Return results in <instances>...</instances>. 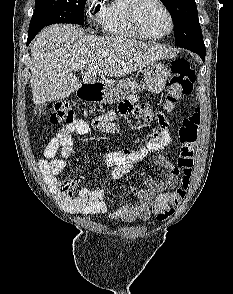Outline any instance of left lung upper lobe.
Returning <instances> with one entry per match:
<instances>
[{"label": "left lung upper lobe", "instance_id": "obj_1", "mask_svg": "<svg viewBox=\"0 0 233 294\" xmlns=\"http://www.w3.org/2000/svg\"><path fill=\"white\" fill-rule=\"evenodd\" d=\"M174 21L175 44L202 56L205 45L195 0H161Z\"/></svg>", "mask_w": 233, "mask_h": 294}]
</instances>
